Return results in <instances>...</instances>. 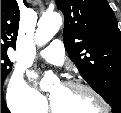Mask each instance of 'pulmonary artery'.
I'll return each instance as SVG.
<instances>
[{
	"label": "pulmonary artery",
	"mask_w": 121,
	"mask_h": 113,
	"mask_svg": "<svg viewBox=\"0 0 121 113\" xmlns=\"http://www.w3.org/2000/svg\"><path fill=\"white\" fill-rule=\"evenodd\" d=\"M38 55L46 62L62 66L65 59V51L60 40L52 41L46 48L40 50Z\"/></svg>",
	"instance_id": "1"
}]
</instances>
